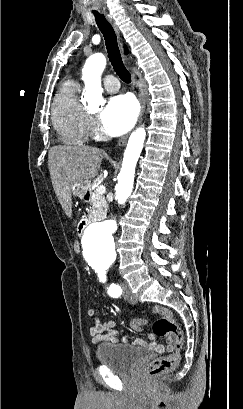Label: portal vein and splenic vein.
<instances>
[{
	"mask_svg": "<svg viewBox=\"0 0 243 409\" xmlns=\"http://www.w3.org/2000/svg\"><path fill=\"white\" fill-rule=\"evenodd\" d=\"M96 191H97L99 194H104V193L106 192V188H105V186L100 185V186H98V187L96 188Z\"/></svg>",
	"mask_w": 243,
	"mask_h": 409,
	"instance_id": "18ae733b",
	"label": "portal vein and splenic vein"
}]
</instances>
